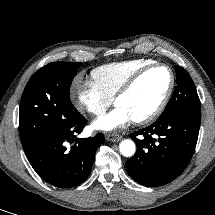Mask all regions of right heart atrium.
<instances>
[{
  "label": "right heart atrium",
  "instance_id": "right-heart-atrium-1",
  "mask_svg": "<svg viewBox=\"0 0 215 215\" xmlns=\"http://www.w3.org/2000/svg\"><path fill=\"white\" fill-rule=\"evenodd\" d=\"M70 99L74 107L81 113L100 115L112 102L92 80L75 78L70 87Z\"/></svg>",
  "mask_w": 215,
  "mask_h": 215
}]
</instances>
